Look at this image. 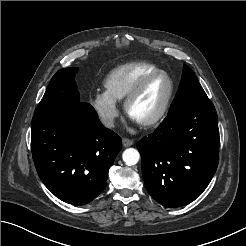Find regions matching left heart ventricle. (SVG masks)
<instances>
[{"label": "left heart ventricle", "mask_w": 246, "mask_h": 246, "mask_svg": "<svg viewBox=\"0 0 246 246\" xmlns=\"http://www.w3.org/2000/svg\"><path fill=\"white\" fill-rule=\"evenodd\" d=\"M170 91V83L165 76H159L148 83L130 107V117L137 123L155 117L163 107Z\"/></svg>", "instance_id": "b2bd125f"}]
</instances>
